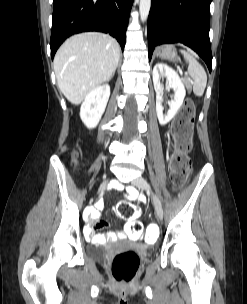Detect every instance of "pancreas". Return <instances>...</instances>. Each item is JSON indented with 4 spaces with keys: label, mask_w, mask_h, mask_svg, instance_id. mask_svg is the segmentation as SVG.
<instances>
[{
    "label": "pancreas",
    "mask_w": 247,
    "mask_h": 304,
    "mask_svg": "<svg viewBox=\"0 0 247 304\" xmlns=\"http://www.w3.org/2000/svg\"><path fill=\"white\" fill-rule=\"evenodd\" d=\"M183 81H184L187 89L190 91L191 90V83H190L189 79H184Z\"/></svg>",
    "instance_id": "1"
}]
</instances>
